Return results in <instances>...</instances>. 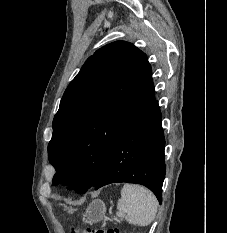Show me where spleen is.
I'll return each mask as SVG.
<instances>
[{
  "mask_svg": "<svg viewBox=\"0 0 227 233\" xmlns=\"http://www.w3.org/2000/svg\"><path fill=\"white\" fill-rule=\"evenodd\" d=\"M158 202L154 194L139 185L125 184L117 204V216L129 224L148 226L157 213Z\"/></svg>",
  "mask_w": 227,
  "mask_h": 233,
  "instance_id": "3e777b00",
  "label": "spleen"
}]
</instances>
